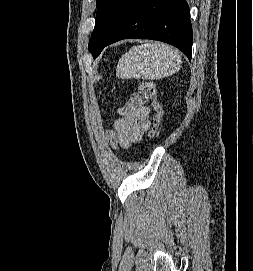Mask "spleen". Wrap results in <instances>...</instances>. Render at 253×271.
<instances>
[{"mask_svg":"<svg viewBox=\"0 0 253 271\" xmlns=\"http://www.w3.org/2000/svg\"><path fill=\"white\" fill-rule=\"evenodd\" d=\"M181 55L163 43L132 47L119 59L116 76L120 79L158 80L171 76L181 67Z\"/></svg>","mask_w":253,"mask_h":271,"instance_id":"1","label":"spleen"}]
</instances>
